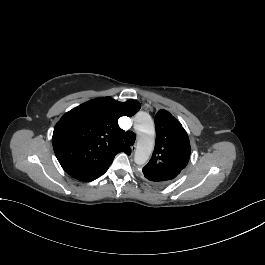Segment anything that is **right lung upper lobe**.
Segmentation results:
<instances>
[{"mask_svg":"<svg viewBox=\"0 0 265 265\" xmlns=\"http://www.w3.org/2000/svg\"><path fill=\"white\" fill-rule=\"evenodd\" d=\"M141 108L135 100L119 102L100 97L83 103L62 116L52 143L62 168L80 181H93L104 174L116 154H131L123 143L120 116H132Z\"/></svg>","mask_w":265,"mask_h":265,"instance_id":"cb5924a9","label":"right lung upper lobe"}]
</instances>
